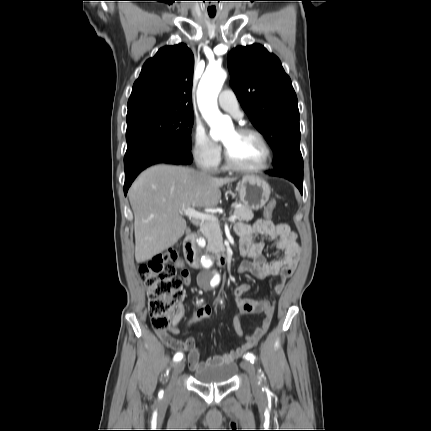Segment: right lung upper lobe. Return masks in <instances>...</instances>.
<instances>
[{
    "instance_id": "obj_1",
    "label": "right lung upper lobe",
    "mask_w": 431,
    "mask_h": 431,
    "mask_svg": "<svg viewBox=\"0 0 431 431\" xmlns=\"http://www.w3.org/2000/svg\"><path fill=\"white\" fill-rule=\"evenodd\" d=\"M194 57L185 44L165 46L148 59L128 100L127 118L151 112L193 113Z\"/></svg>"
}]
</instances>
